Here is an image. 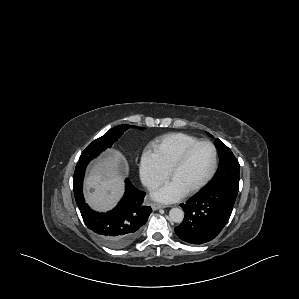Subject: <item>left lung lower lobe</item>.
<instances>
[{"label": "left lung lower lobe", "instance_id": "1", "mask_svg": "<svg viewBox=\"0 0 299 299\" xmlns=\"http://www.w3.org/2000/svg\"><path fill=\"white\" fill-rule=\"evenodd\" d=\"M237 193L224 187L204 188L181 204L186 215L175 228L178 237L190 244H203L214 239L227 223Z\"/></svg>", "mask_w": 299, "mask_h": 299}]
</instances>
